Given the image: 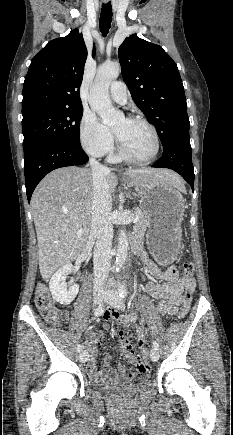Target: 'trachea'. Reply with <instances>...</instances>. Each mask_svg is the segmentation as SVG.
<instances>
[{"mask_svg": "<svg viewBox=\"0 0 233 435\" xmlns=\"http://www.w3.org/2000/svg\"><path fill=\"white\" fill-rule=\"evenodd\" d=\"M112 15L113 13L111 3L108 2L106 4H102L99 27L104 37L108 34L111 27Z\"/></svg>", "mask_w": 233, "mask_h": 435, "instance_id": "1", "label": "trachea"}]
</instances>
